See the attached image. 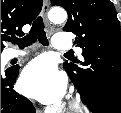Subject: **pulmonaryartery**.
Returning <instances> with one entry per match:
<instances>
[{
    "label": "pulmonary artery",
    "instance_id": "e3ab8cb5",
    "mask_svg": "<svg viewBox=\"0 0 121 113\" xmlns=\"http://www.w3.org/2000/svg\"><path fill=\"white\" fill-rule=\"evenodd\" d=\"M53 43H54V48L59 51H68L71 47V42L70 38L68 37L67 34L64 33H58L53 37ZM80 54V52H79ZM22 54L16 52V51H11L8 54V58H15V57H20Z\"/></svg>",
    "mask_w": 121,
    "mask_h": 113
}]
</instances>
